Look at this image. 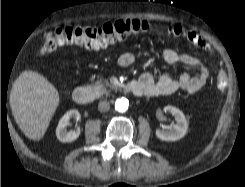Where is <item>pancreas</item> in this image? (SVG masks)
Masks as SVG:
<instances>
[{
  "instance_id": "pancreas-1",
  "label": "pancreas",
  "mask_w": 245,
  "mask_h": 187,
  "mask_svg": "<svg viewBox=\"0 0 245 187\" xmlns=\"http://www.w3.org/2000/svg\"><path fill=\"white\" fill-rule=\"evenodd\" d=\"M94 87L103 93H108V89L117 91L119 86L116 84H111L108 81L98 80L94 83Z\"/></svg>"
}]
</instances>
